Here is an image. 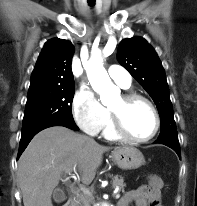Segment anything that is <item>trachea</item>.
Wrapping results in <instances>:
<instances>
[{"mask_svg":"<svg viewBox=\"0 0 197 206\" xmlns=\"http://www.w3.org/2000/svg\"><path fill=\"white\" fill-rule=\"evenodd\" d=\"M89 5H90V6H93V5H94V2H93L92 0H90V1H89Z\"/></svg>","mask_w":197,"mask_h":206,"instance_id":"1","label":"trachea"}]
</instances>
